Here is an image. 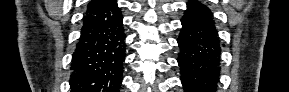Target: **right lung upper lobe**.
Returning <instances> with one entry per match:
<instances>
[{"label":"right lung upper lobe","mask_w":289,"mask_h":92,"mask_svg":"<svg viewBox=\"0 0 289 92\" xmlns=\"http://www.w3.org/2000/svg\"><path fill=\"white\" fill-rule=\"evenodd\" d=\"M106 1L107 0H93L92 2L89 3L87 9L95 8V7L99 6V5H102Z\"/></svg>","instance_id":"right-lung-upper-lobe-1"}]
</instances>
